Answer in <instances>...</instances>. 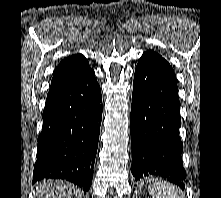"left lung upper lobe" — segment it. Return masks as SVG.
<instances>
[{"label": "left lung upper lobe", "mask_w": 221, "mask_h": 198, "mask_svg": "<svg viewBox=\"0 0 221 198\" xmlns=\"http://www.w3.org/2000/svg\"><path fill=\"white\" fill-rule=\"evenodd\" d=\"M147 52H149V53H153V54H157V53H155L154 51H152V50H149V51H147ZM158 55V54H157Z\"/></svg>", "instance_id": "obj_1"}]
</instances>
